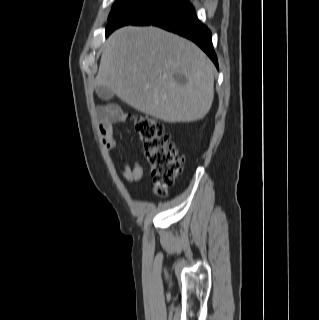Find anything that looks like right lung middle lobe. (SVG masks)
I'll use <instances>...</instances> for the list:
<instances>
[{"mask_svg": "<svg viewBox=\"0 0 319 320\" xmlns=\"http://www.w3.org/2000/svg\"><path fill=\"white\" fill-rule=\"evenodd\" d=\"M179 0H117L109 15L106 32L120 26L133 24L144 16L166 9Z\"/></svg>", "mask_w": 319, "mask_h": 320, "instance_id": "dd1d6c3e", "label": "right lung middle lobe"}]
</instances>
